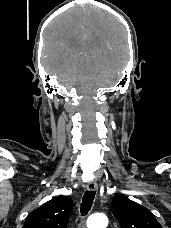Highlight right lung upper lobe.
Returning a JSON list of instances; mask_svg holds the SVG:
<instances>
[{
	"instance_id": "obj_1",
	"label": "right lung upper lobe",
	"mask_w": 171,
	"mask_h": 228,
	"mask_svg": "<svg viewBox=\"0 0 171 228\" xmlns=\"http://www.w3.org/2000/svg\"><path fill=\"white\" fill-rule=\"evenodd\" d=\"M72 207L67 196L52 198L27 216L23 228H66Z\"/></svg>"
}]
</instances>
